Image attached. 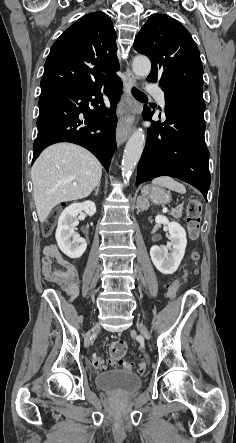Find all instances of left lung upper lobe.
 <instances>
[{
	"instance_id": "left-lung-upper-lobe-1",
	"label": "left lung upper lobe",
	"mask_w": 236,
	"mask_h": 443,
	"mask_svg": "<svg viewBox=\"0 0 236 443\" xmlns=\"http://www.w3.org/2000/svg\"><path fill=\"white\" fill-rule=\"evenodd\" d=\"M134 49L150 58L149 82L163 89L203 88L199 50L187 29L166 14H152L137 34Z\"/></svg>"
}]
</instances>
